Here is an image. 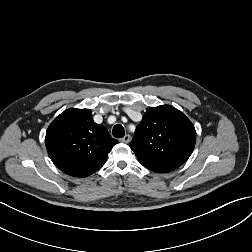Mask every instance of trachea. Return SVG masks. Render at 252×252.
Returning a JSON list of instances; mask_svg holds the SVG:
<instances>
[{"label": "trachea", "instance_id": "obj_1", "mask_svg": "<svg viewBox=\"0 0 252 252\" xmlns=\"http://www.w3.org/2000/svg\"><path fill=\"white\" fill-rule=\"evenodd\" d=\"M113 136L116 138H122L125 135V130L121 124H116L112 130Z\"/></svg>", "mask_w": 252, "mask_h": 252}]
</instances>
